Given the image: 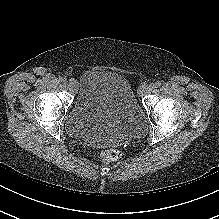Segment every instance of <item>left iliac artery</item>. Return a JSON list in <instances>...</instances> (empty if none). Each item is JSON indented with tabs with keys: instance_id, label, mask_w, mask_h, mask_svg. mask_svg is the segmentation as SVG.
Listing matches in <instances>:
<instances>
[{
	"instance_id": "obj_1",
	"label": "left iliac artery",
	"mask_w": 219,
	"mask_h": 219,
	"mask_svg": "<svg viewBox=\"0 0 219 219\" xmlns=\"http://www.w3.org/2000/svg\"><path fill=\"white\" fill-rule=\"evenodd\" d=\"M161 86V82L160 81H156L154 84V88H159Z\"/></svg>"
}]
</instances>
